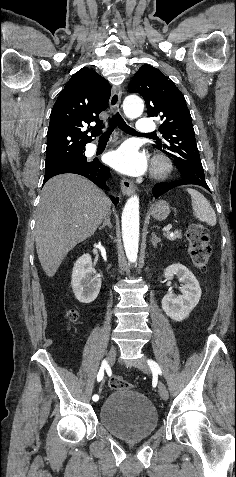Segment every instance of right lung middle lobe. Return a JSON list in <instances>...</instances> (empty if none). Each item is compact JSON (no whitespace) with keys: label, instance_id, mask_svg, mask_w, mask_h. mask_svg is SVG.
<instances>
[{"label":"right lung middle lobe","instance_id":"dd1d6c3e","mask_svg":"<svg viewBox=\"0 0 236 477\" xmlns=\"http://www.w3.org/2000/svg\"><path fill=\"white\" fill-rule=\"evenodd\" d=\"M89 161H87L85 155H84V151L83 152H79L71 157H68L64 160H61L59 162H56L55 164H50V165H47L45 166V169H50V168H54V167H61V166H68V165H78V164H85Z\"/></svg>","mask_w":236,"mask_h":477}]
</instances>
